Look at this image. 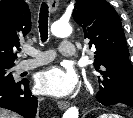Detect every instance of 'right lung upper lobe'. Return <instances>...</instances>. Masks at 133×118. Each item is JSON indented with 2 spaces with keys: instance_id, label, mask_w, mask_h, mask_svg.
<instances>
[{
  "instance_id": "obj_1",
  "label": "right lung upper lobe",
  "mask_w": 133,
  "mask_h": 118,
  "mask_svg": "<svg viewBox=\"0 0 133 118\" xmlns=\"http://www.w3.org/2000/svg\"><path fill=\"white\" fill-rule=\"evenodd\" d=\"M31 30V17L24 0L0 1V64H14V50Z\"/></svg>"
}]
</instances>
